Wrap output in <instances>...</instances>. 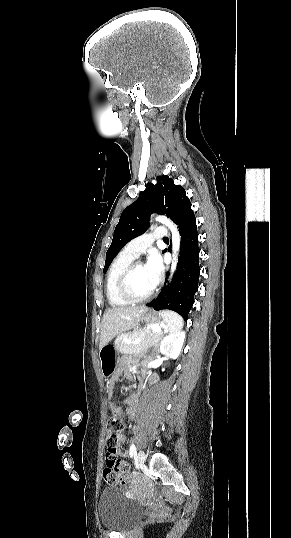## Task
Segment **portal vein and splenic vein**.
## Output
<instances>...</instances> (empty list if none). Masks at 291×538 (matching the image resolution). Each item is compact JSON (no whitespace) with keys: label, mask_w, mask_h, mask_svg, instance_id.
<instances>
[{"label":"portal vein and splenic vein","mask_w":291,"mask_h":538,"mask_svg":"<svg viewBox=\"0 0 291 538\" xmlns=\"http://www.w3.org/2000/svg\"><path fill=\"white\" fill-rule=\"evenodd\" d=\"M153 331L154 332H160L161 329L159 327H153ZM140 341H141V339L138 338V339L135 340V343H139Z\"/></svg>","instance_id":"1"}]
</instances>
